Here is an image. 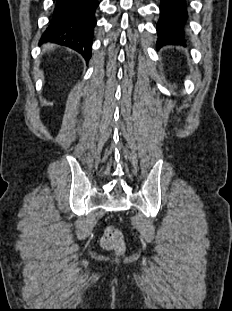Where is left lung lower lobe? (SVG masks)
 Instances as JSON below:
<instances>
[{
	"instance_id": "1",
	"label": "left lung lower lobe",
	"mask_w": 232,
	"mask_h": 311,
	"mask_svg": "<svg viewBox=\"0 0 232 311\" xmlns=\"http://www.w3.org/2000/svg\"><path fill=\"white\" fill-rule=\"evenodd\" d=\"M187 18L186 0H161L157 47L165 44H183Z\"/></svg>"
}]
</instances>
